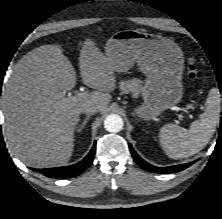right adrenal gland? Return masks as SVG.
<instances>
[{
    "mask_svg": "<svg viewBox=\"0 0 222 219\" xmlns=\"http://www.w3.org/2000/svg\"><path fill=\"white\" fill-rule=\"evenodd\" d=\"M91 115H93V114H92V113H91V114H87V116L85 117V119L81 122V125H80L79 128H78V131H82V130L85 128V126H86L89 118L91 117Z\"/></svg>",
    "mask_w": 222,
    "mask_h": 219,
    "instance_id": "2a0ac1e0",
    "label": "right adrenal gland"
}]
</instances>
